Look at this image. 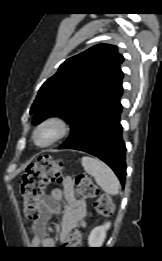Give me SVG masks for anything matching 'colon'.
<instances>
[{
  "label": "colon",
  "instance_id": "colon-1",
  "mask_svg": "<svg viewBox=\"0 0 162 261\" xmlns=\"http://www.w3.org/2000/svg\"><path fill=\"white\" fill-rule=\"evenodd\" d=\"M62 164L49 155L40 156L36 163L29 166L20 185V193L23 199V212L28 220L37 219L39 216V201L46 186L61 179ZM77 199L96 198L94 209L103 216L113 214L114 206L108 194H100L97 185L85 175H78L75 179ZM82 233L74 232L63 245H81Z\"/></svg>",
  "mask_w": 162,
  "mask_h": 261
}]
</instances>
